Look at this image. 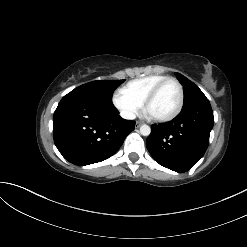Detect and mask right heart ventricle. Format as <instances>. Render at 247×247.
I'll use <instances>...</instances> for the list:
<instances>
[{
    "instance_id": "right-heart-ventricle-1",
    "label": "right heart ventricle",
    "mask_w": 247,
    "mask_h": 247,
    "mask_svg": "<svg viewBox=\"0 0 247 247\" xmlns=\"http://www.w3.org/2000/svg\"><path fill=\"white\" fill-rule=\"evenodd\" d=\"M167 76L161 74L149 75L128 82L122 89L134 100L142 103L148 93Z\"/></svg>"
}]
</instances>
